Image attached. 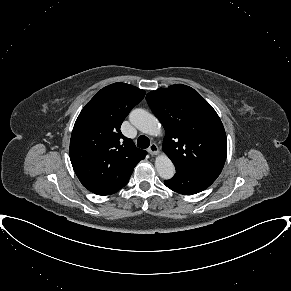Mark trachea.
Listing matches in <instances>:
<instances>
[{
    "instance_id": "obj_1",
    "label": "trachea",
    "mask_w": 291,
    "mask_h": 291,
    "mask_svg": "<svg viewBox=\"0 0 291 291\" xmlns=\"http://www.w3.org/2000/svg\"><path fill=\"white\" fill-rule=\"evenodd\" d=\"M150 145V141L149 139L144 136V135H141L138 140H137V146L141 149H146L148 148Z\"/></svg>"
}]
</instances>
